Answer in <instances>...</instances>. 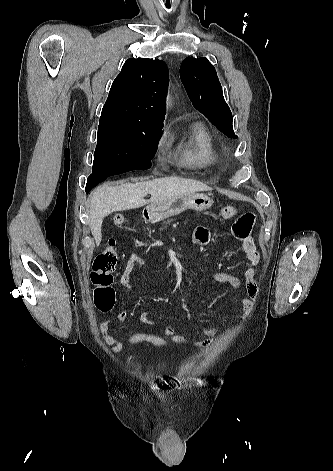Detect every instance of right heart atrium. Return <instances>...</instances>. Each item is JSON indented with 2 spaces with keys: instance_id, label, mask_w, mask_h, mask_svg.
Wrapping results in <instances>:
<instances>
[{
  "instance_id": "obj_1",
  "label": "right heart atrium",
  "mask_w": 333,
  "mask_h": 471,
  "mask_svg": "<svg viewBox=\"0 0 333 471\" xmlns=\"http://www.w3.org/2000/svg\"><path fill=\"white\" fill-rule=\"evenodd\" d=\"M165 139H166V138H165V135H161V136L158 138V140H157V142H156V145H157L158 148H162V147L164 146V144H165Z\"/></svg>"
}]
</instances>
